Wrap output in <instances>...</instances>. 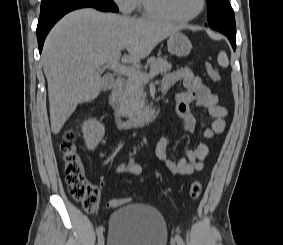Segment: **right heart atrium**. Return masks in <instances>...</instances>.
<instances>
[{"label": "right heart atrium", "instance_id": "d8ad5b80", "mask_svg": "<svg viewBox=\"0 0 283 245\" xmlns=\"http://www.w3.org/2000/svg\"><path fill=\"white\" fill-rule=\"evenodd\" d=\"M118 9L125 13H131L136 6V0H113Z\"/></svg>", "mask_w": 283, "mask_h": 245}]
</instances>
